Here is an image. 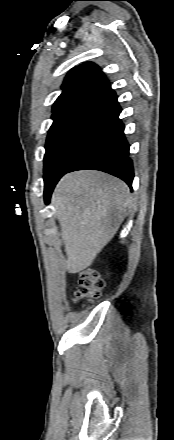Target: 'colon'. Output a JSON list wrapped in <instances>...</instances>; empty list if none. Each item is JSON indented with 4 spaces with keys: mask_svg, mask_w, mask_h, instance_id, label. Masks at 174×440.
Segmentation results:
<instances>
[{
    "mask_svg": "<svg viewBox=\"0 0 174 440\" xmlns=\"http://www.w3.org/2000/svg\"><path fill=\"white\" fill-rule=\"evenodd\" d=\"M104 286L98 272L92 268H86L79 273V285L75 291V301H91L100 296Z\"/></svg>",
    "mask_w": 174,
    "mask_h": 440,
    "instance_id": "obj_1",
    "label": "colon"
}]
</instances>
